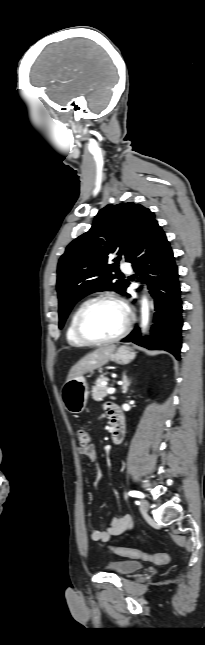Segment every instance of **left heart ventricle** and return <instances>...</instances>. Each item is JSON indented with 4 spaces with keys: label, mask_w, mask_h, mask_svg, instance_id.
Wrapping results in <instances>:
<instances>
[{
    "label": "left heart ventricle",
    "mask_w": 205,
    "mask_h": 645,
    "mask_svg": "<svg viewBox=\"0 0 205 645\" xmlns=\"http://www.w3.org/2000/svg\"><path fill=\"white\" fill-rule=\"evenodd\" d=\"M125 316L122 308L112 302H105L92 307L84 321L87 334L93 338H109L117 334L124 325Z\"/></svg>",
    "instance_id": "left-heart-ventricle-1"
}]
</instances>
